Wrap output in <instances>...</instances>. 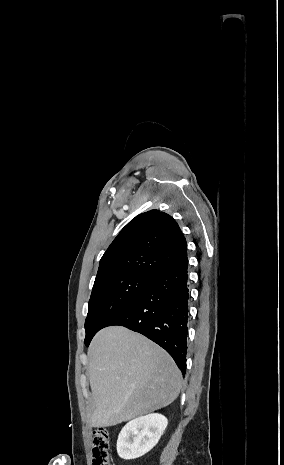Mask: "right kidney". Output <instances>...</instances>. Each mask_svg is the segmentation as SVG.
<instances>
[{
  "instance_id": "1",
  "label": "right kidney",
  "mask_w": 284,
  "mask_h": 465,
  "mask_svg": "<svg viewBox=\"0 0 284 465\" xmlns=\"http://www.w3.org/2000/svg\"><path fill=\"white\" fill-rule=\"evenodd\" d=\"M168 421L163 415L153 413L129 421L119 433L117 453L121 459H138L157 445Z\"/></svg>"
}]
</instances>
